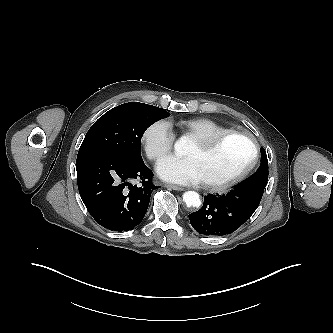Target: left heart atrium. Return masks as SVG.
Here are the masks:
<instances>
[{"instance_id":"39dd6f15","label":"left heart atrium","mask_w":333,"mask_h":333,"mask_svg":"<svg viewBox=\"0 0 333 333\" xmlns=\"http://www.w3.org/2000/svg\"><path fill=\"white\" fill-rule=\"evenodd\" d=\"M157 172L164 180L195 185L202 182V176L196 162L190 157L168 156L157 165Z\"/></svg>"}]
</instances>
